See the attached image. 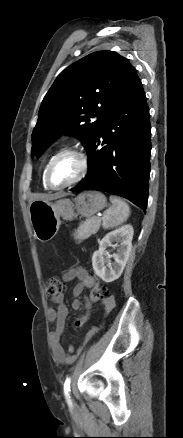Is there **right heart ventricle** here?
Instances as JSON below:
<instances>
[{
  "label": "right heart ventricle",
  "instance_id": "e07e8e85",
  "mask_svg": "<svg viewBox=\"0 0 183 438\" xmlns=\"http://www.w3.org/2000/svg\"><path fill=\"white\" fill-rule=\"evenodd\" d=\"M53 157H54V156H52V157L49 158V160L47 161V163L45 164V166H44V168H43V170H42V184H43V187H44L45 189H49L48 186L46 185L45 181H44L45 169H46V167H47V164L49 163V161H50Z\"/></svg>",
  "mask_w": 183,
  "mask_h": 438
}]
</instances>
